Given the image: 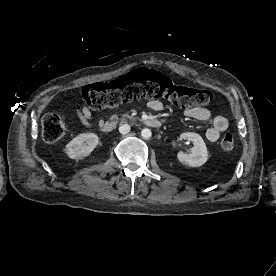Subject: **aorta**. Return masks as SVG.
<instances>
[{"label":"aorta","mask_w":276,"mask_h":276,"mask_svg":"<svg viewBox=\"0 0 276 276\" xmlns=\"http://www.w3.org/2000/svg\"><path fill=\"white\" fill-rule=\"evenodd\" d=\"M141 136H142L144 139H149V138H151V136H152V132H151L150 129L144 128V129H142V131H141Z\"/></svg>","instance_id":"obj_1"}]
</instances>
